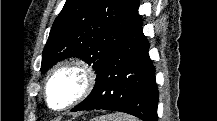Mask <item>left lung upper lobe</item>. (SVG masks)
Masks as SVG:
<instances>
[{"label": "left lung upper lobe", "mask_w": 217, "mask_h": 121, "mask_svg": "<svg viewBox=\"0 0 217 121\" xmlns=\"http://www.w3.org/2000/svg\"><path fill=\"white\" fill-rule=\"evenodd\" d=\"M138 6V0H67L44 47L41 72L78 57L97 73L133 24Z\"/></svg>", "instance_id": "obj_1"}]
</instances>
